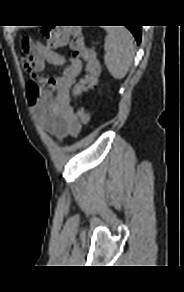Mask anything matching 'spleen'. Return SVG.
I'll use <instances>...</instances> for the list:
<instances>
[{"mask_svg":"<svg viewBox=\"0 0 184 292\" xmlns=\"http://www.w3.org/2000/svg\"><path fill=\"white\" fill-rule=\"evenodd\" d=\"M106 31L105 65L115 79H123L134 58L133 37L124 27H108Z\"/></svg>","mask_w":184,"mask_h":292,"instance_id":"3e777b00","label":"spleen"}]
</instances>
